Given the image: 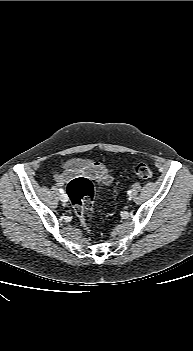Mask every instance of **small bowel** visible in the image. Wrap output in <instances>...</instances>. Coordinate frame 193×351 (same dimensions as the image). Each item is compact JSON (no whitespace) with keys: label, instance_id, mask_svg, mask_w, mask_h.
Here are the masks:
<instances>
[{"label":"small bowel","instance_id":"1","mask_svg":"<svg viewBox=\"0 0 193 351\" xmlns=\"http://www.w3.org/2000/svg\"><path fill=\"white\" fill-rule=\"evenodd\" d=\"M78 176L94 180L101 186H107L112 181L110 171L103 164L88 159L67 161L63 171L55 175V180L62 185Z\"/></svg>","mask_w":193,"mask_h":351}]
</instances>
